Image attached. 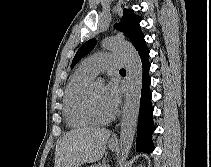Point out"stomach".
I'll return each mask as SVG.
<instances>
[{
  "label": "stomach",
  "instance_id": "0dacf381",
  "mask_svg": "<svg viewBox=\"0 0 211 167\" xmlns=\"http://www.w3.org/2000/svg\"><path fill=\"white\" fill-rule=\"evenodd\" d=\"M109 148H110L112 151H115V150H117L118 146H117V144H115V143L109 142Z\"/></svg>",
  "mask_w": 211,
  "mask_h": 167
}]
</instances>
